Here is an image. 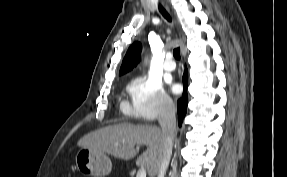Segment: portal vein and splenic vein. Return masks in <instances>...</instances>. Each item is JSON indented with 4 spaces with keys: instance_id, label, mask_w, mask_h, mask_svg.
Segmentation results:
<instances>
[{
    "instance_id": "portal-vein-and-splenic-vein-1",
    "label": "portal vein and splenic vein",
    "mask_w": 287,
    "mask_h": 177,
    "mask_svg": "<svg viewBox=\"0 0 287 177\" xmlns=\"http://www.w3.org/2000/svg\"><path fill=\"white\" fill-rule=\"evenodd\" d=\"M136 177H146V169L144 167H141L138 170Z\"/></svg>"
}]
</instances>
